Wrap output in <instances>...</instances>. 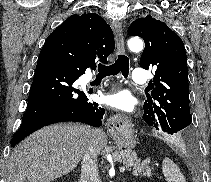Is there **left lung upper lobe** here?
Wrapping results in <instances>:
<instances>
[{"instance_id": "left-lung-upper-lobe-1", "label": "left lung upper lobe", "mask_w": 211, "mask_h": 182, "mask_svg": "<svg viewBox=\"0 0 211 182\" xmlns=\"http://www.w3.org/2000/svg\"><path fill=\"white\" fill-rule=\"evenodd\" d=\"M128 34L145 42L140 66L156 70L149 84L151 96L143 106V119L157 130L189 140L188 68L182 40L164 22L149 15L135 20Z\"/></svg>"}]
</instances>
